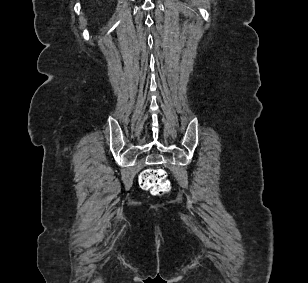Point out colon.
<instances>
[{"label":"colon","instance_id":"1","mask_svg":"<svg viewBox=\"0 0 308 283\" xmlns=\"http://www.w3.org/2000/svg\"><path fill=\"white\" fill-rule=\"evenodd\" d=\"M139 184L142 189L150 190L154 195H163L170 190L166 172L160 168L144 170L140 174Z\"/></svg>","mask_w":308,"mask_h":283}]
</instances>
